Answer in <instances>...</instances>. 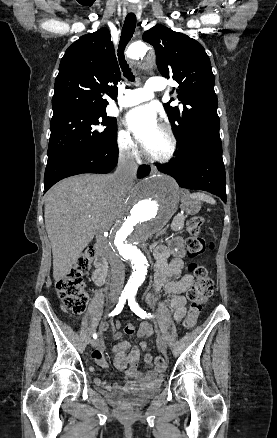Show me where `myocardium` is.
Here are the masks:
<instances>
[{"instance_id":"myocardium-1","label":"myocardium","mask_w":277,"mask_h":438,"mask_svg":"<svg viewBox=\"0 0 277 438\" xmlns=\"http://www.w3.org/2000/svg\"><path fill=\"white\" fill-rule=\"evenodd\" d=\"M126 50H127V48H126ZM130 67H131V65H130ZM158 129L162 130L169 138L170 149H169V152L167 153V155L164 157H155V156H151V155L147 154L145 152L144 148H142L141 150H142L143 155L150 162L163 164V163H167V162L171 161L174 158L176 151H177V147H178V141H177V138H176L173 130L171 129V127H169L165 124H160V125H158Z\"/></svg>"}]
</instances>
